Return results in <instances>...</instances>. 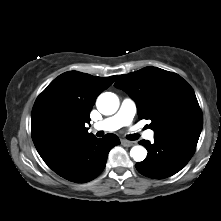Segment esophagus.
Returning <instances> with one entry per match:
<instances>
[{
    "instance_id": "obj_1",
    "label": "esophagus",
    "mask_w": 221,
    "mask_h": 221,
    "mask_svg": "<svg viewBox=\"0 0 221 221\" xmlns=\"http://www.w3.org/2000/svg\"><path fill=\"white\" fill-rule=\"evenodd\" d=\"M121 144L125 147H131L135 144V142H132V141H128V140H122L121 141Z\"/></svg>"
}]
</instances>
